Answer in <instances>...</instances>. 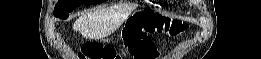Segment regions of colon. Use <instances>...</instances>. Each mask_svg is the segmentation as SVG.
Returning a JSON list of instances; mask_svg holds the SVG:
<instances>
[{
	"label": "colon",
	"mask_w": 261,
	"mask_h": 59,
	"mask_svg": "<svg viewBox=\"0 0 261 59\" xmlns=\"http://www.w3.org/2000/svg\"><path fill=\"white\" fill-rule=\"evenodd\" d=\"M186 26L180 22L170 21L156 13L145 12L129 30L126 40L135 59H151L158 55L151 36L168 33L178 36ZM79 59H114L117 58L112 48H104L96 43L86 44L78 55Z\"/></svg>",
	"instance_id": "colon-1"
}]
</instances>
